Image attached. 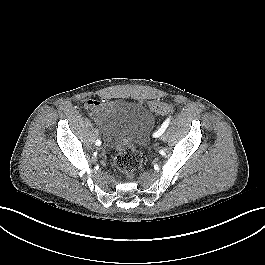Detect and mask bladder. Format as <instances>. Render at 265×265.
Instances as JSON below:
<instances>
[{"label": "bladder", "instance_id": "31cf9c89", "mask_svg": "<svg viewBox=\"0 0 265 265\" xmlns=\"http://www.w3.org/2000/svg\"><path fill=\"white\" fill-rule=\"evenodd\" d=\"M154 124L153 114L143 105L113 101L104 129L109 146L115 149L145 145Z\"/></svg>", "mask_w": 265, "mask_h": 265}]
</instances>
